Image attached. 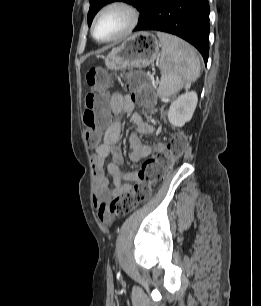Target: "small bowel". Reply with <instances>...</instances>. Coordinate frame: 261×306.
Masks as SVG:
<instances>
[{"mask_svg":"<svg viewBox=\"0 0 261 306\" xmlns=\"http://www.w3.org/2000/svg\"><path fill=\"white\" fill-rule=\"evenodd\" d=\"M110 107L114 113L129 114L131 122L136 127V132L129 138L130 152L129 159L137 163L148 157L154 151L163 149L161 143L145 144L141 136L158 135L155 126L145 122L141 115L134 113V102L129 95L121 92H114L110 96ZM121 135V123L113 121L105 130L103 142L95 149L92 156V167L94 175L93 204L97 216L102 223H109L111 215L109 213V201L123 192L130 191L132 183L137 179V172L134 170L123 172L120 168L124 161L123 153L119 145ZM110 162L106 164V161ZM105 170L112 178V184L106 176Z\"/></svg>","mask_w":261,"mask_h":306,"instance_id":"c3829d8e","label":"small bowel"}]
</instances>
